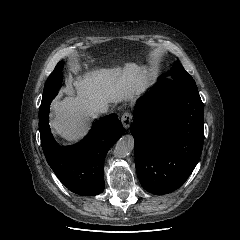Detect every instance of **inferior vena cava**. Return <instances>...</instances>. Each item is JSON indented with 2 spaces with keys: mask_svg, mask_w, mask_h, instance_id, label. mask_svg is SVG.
Instances as JSON below:
<instances>
[{
  "mask_svg": "<svg viewBox=\"0 0 240 240\" xmlns=\"http://www.w3.org/2000/svg\"><path fill=\"white\" fill-rule=\"evenodd\" d=\"M89 108L96 114H106L109 109V103L102 100H93L90 102Z\"/></svg>",
  "mask_w": 240,
  "mask_h": 240,
  "instance_id": "602c4592",
  "label": "inferior vena cava"
}]
</instances>
